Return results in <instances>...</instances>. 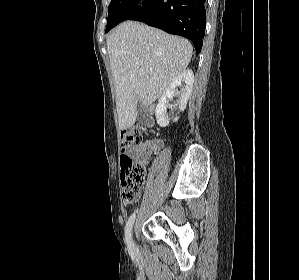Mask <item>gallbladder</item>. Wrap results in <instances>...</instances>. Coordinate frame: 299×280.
<instances>
[{
    "instance_id": "gallbladder-1",
    "label": "gallbladder",
    "mask_w": 299,
    "mask_h": 280,
    "mask_svg": "<svg viewBox=\"0 0 299 280\" xmlns=\"http://www.w3.org/2000/svg\"><path fill=\"white\" fill-rule=\"evenodd\" d=\"M136 114H137V119L139 121H142L143 120V106L139 100H137V102H136Z\"/></svg>"
}]
</instances>
